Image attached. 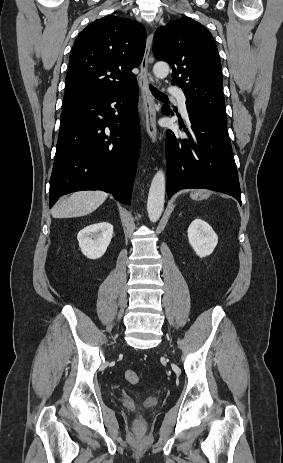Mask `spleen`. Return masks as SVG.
<instances>
[{"label": "spleen", "mask_w": 283, "mask_h": 463, "mask_svg": "<svg viewBox=\"0 0 283 463\" xmlns=\"http://www.w3.org/2000/svg\"><path fill=\"white\" fill-rule=\"evenodd\" d=\"M205 191V190H204ZM206 192V197H208L210 195V192L209 191H205ZM205 197V198H206Z\"/></svg>", "instance_id": "obj_1"}]
</instances>
